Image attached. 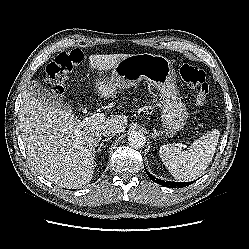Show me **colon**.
I'll use <instances>...</instances> for the list:
<instances>
[{"label":"colon","instance_id":"1","mask_svg":"<svg viewBox=\"0 0 249 249\" xmlns=\"http://www.w3.org/2000/svg\"><path fill=\"white\" fill-rule=\"evenodd\" d=\"M82 60L83 53L79 49L59 53L47 66V88L56 96L62 95L68 76ZM179 73L183 81L195 91L197 105L204 106L209 95L205 72L198 66L180 62Z\"/></svg>","mask_w":249,"mask_h":249}]
</instances>
